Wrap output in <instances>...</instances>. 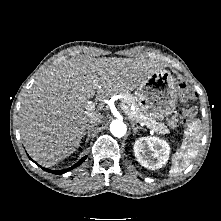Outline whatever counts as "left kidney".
Returning <instances> with one entry per match:
<instances>
[{
    "instance_id": "1",
    "label": "left kidney",
    "mask_w": 221,
    "mask_h": 221,
    "mask_svg": "<svg viewBox=\"0 0 221 221\" xmlns=\"http://www.w3.org/2000/svg\"><path fill=\"white\" fill-rule=\"evenodd\" d=\"M134 153L142 166L156 170L168 161L170 146L158 137H141L135 141Z\"/></svg>"
}]
</instances>
